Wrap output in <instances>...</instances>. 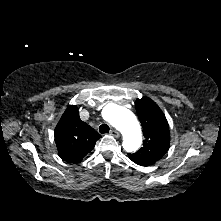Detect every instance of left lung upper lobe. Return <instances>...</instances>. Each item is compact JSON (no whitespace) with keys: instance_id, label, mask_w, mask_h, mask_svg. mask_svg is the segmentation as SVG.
Wrapping results in <instances>:
<instances>
[{"instance_id":"5c2ea615","label":"left lung upper lobe","mask_w":221,"mask_h":221,"mask_svg":"<svg viewBox=\"0 0 221 221\" xmlns=\"http://www.w3.org/2000/svg\"><path fill=\"white\" fill-rule=\"evenodd\" d=\"M135 107L145 140L139 151L128 155L136 164L150 166L160 160L169 149L168 122L158 105L148 97L137 99Z\"/></svg>"}]
</instances>
